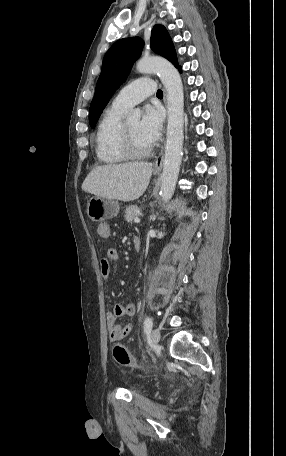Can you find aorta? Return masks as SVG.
Listing matches in <instances>:
<instances>
[{"mask_svg":"<svg viewBox=\"0 0 286 456\" xmlns=\"http://www.w3.org/2000/svg\"><path fill=\"white\" fill-rule=\"evenodd\" d=\"M136 69L139 73H157L167 92L168 125L160 196L167 203L173 196L179 175L184 128V91L178 70L166 59L159 57L141 58ZM141 112L133 110L129 121H139Z\"/></svg>","mask_w":286,"mask_h":456,"instance_id":"1","label":"aorta"}]
</instances>
